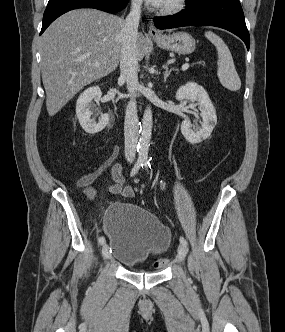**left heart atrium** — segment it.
<instances>
[{
	"instance_id": "left-heart-atrium-1",
	"label": "left heart atrium",
	"mask_w": 285,
	"mask_h": 332,
	"mask_svg": "<svg viewBox=\"0 0 285 332\" xmlns=\"http://www.w3.org/2000/svg\"><path fill=\"white\" fill-rule=\"evenodd\" d=\"M147 3L151 4L155 7H162L166 3L167 0H145Z\"/></svg>"
}]
</instances>
